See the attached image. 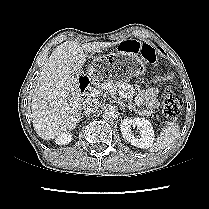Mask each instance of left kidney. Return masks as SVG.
I'll list each match as a JSON object with an SVG mask.
<instances>
[{
    "label": "left kidney",
    "mask_w": 209,
    "mask_h": 209,
    "mask_svg": "<svg viewBox=\"0 0 209 209\" xmlns=\"http://www.w3.org/2000/svg\"><path fill=\"white\" fill-rule=\"evenodd\" d=\"M135 126H137V129L140 131L137 137L134 136L131 129V127ZM120 128L123 138L131 145L143 149L153 145L154 129L147 119L140 117L126 118L122 120Z\"/></svg>",
    "instance_id": "1"
}]
</instances>
